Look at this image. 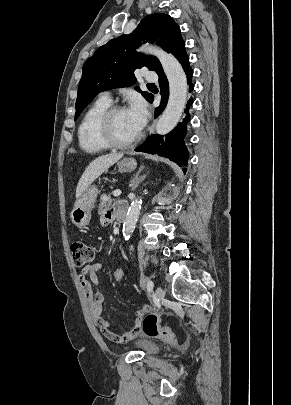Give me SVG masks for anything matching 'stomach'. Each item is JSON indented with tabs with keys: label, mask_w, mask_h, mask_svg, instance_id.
<instances>
[{
	"label": "stomach",
	"mask_w": 291,
	"mask_h": 405,
	"mask_svg": "<svg viewBox=\"0 0 291 405\" xmlns=\"http://www.w3.org/2000/svg\"><path fill=\"white\" fill-rule=\"evenodd\" d=\"M137 166L133 158H125L118 163L120 172H132ZM99 191L96 186H89L83 194L76 200L71 212V220L77 227L89 224L91 220V210L94 207Z\"/></svg>",
	"instance_id": "stomach-1"
}]
</instances>
